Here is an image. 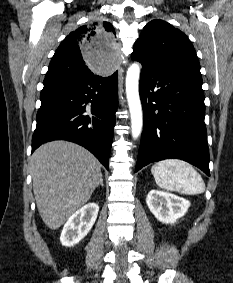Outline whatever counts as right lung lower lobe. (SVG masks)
Here are the masks:
<instances>
[{"mask_svg":"<svg viewBox=\"0 0 233 283\" xmlns=\"http://www.w3.org/2000/svg\"><path fill=\"white\" fill-rule=\"evenodd\" d=\"M32 137V152L53 140L77 143L108 169L118 106L117 72L110 76L45 79Z\"/></svg>","mask_w":233,"mask_h":283,"instance_id":"right-lung-lower-lobe-1","label":"right lung lower lobe"}]
</instances>
